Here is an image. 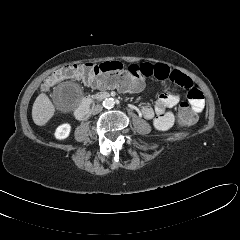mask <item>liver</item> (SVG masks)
<instances>
[{
	"label": "liver",
	"instance_id": "liver-1",
	"mask_svg": "<svg viewBox=\"0 0 240 240\" xmlns=\"http://www.w3.org/2000/svg\"><path fill=\"white\" fill-rule=\"evenodd\" d=\"M55 108L45 93L36 98L32 107V119L38 126L45 125L54 115Z\"/></svg>",
	"mask_w": 240,
	"mask_h": 240
}]
</instances>
